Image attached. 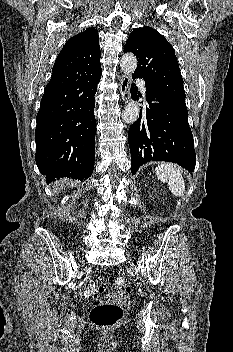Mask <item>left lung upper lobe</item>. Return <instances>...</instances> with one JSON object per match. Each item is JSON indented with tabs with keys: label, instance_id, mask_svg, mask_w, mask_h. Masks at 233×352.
Wrapping results in <instances>:
<instances>
[{
	"label": "left lung upper lobe",
	"instance_id": "1",
	"mask_svg": "<svg viewBox=\"0 0 233 352\" xmlns=\"http://www.w3.org/2000/svg\"><path fill=\"white\" fill-rule=\"evenodd\" d=\"M124 52H132L138 60L135 77L165 95L185 103L183 79L171 44L149 26L134 29Z\"/></svg>",
	"mask_w": 233,
	"mask_h": 352
}]
</instances>
